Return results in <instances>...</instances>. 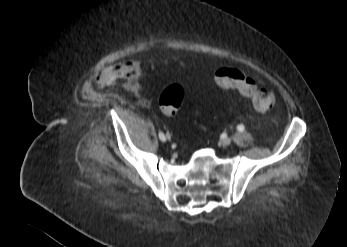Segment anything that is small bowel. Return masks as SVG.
<instances>
[{
    "instance_id": "1",
    "label": "small bowel",
    "mask_w": 347,
    "mask_h": 247,
    "mask_svg": "<svg viewBox=\"0 0 347 247\" xmlns=\"http://www.w3.org/2000/svg\"><path fill=\"white\" fill-rule=\"evenodd\" d=\"M121 80L131 91L137 92L141 84V70L135 62L108 66L97 77V84Z\"/></svg>"
}]
</instances>
